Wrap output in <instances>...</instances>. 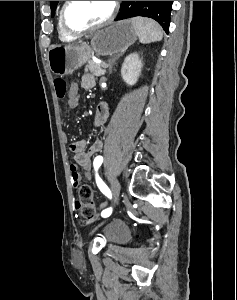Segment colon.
I'll list each match as a JSON object with an SVG mask.
<instances>
[{
	"mask_svg": "<svg viewBox=\"0 0 237 300\" xmlns=\"http://www.w3.org/2000/svg\"><path fill=\"white\" fill-rule=\"evenodd\" d=\"M54 86L58 98L66 99L68 105L72 108H76L78 106L79 103L78 94L74 96L69 94V89L64 79L61 78L55 79ZM73 181L75 183V187L79 185L77 177H73ZM78 194H79L80 211L82 216L86 219L94 218L96 211L93 203L92 188L87 184H83L79 187Z\"/></svg>",
	"mask_w": 237,
	"mask_h": 300,
	"instance_id": "5ec220e1",
	"label": "colon"
}]
</instances>
